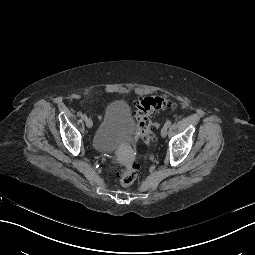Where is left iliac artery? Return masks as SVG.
<instances>
[{"label":"left iliac artery","instance_id":"left-iliac-artery-1","mask_svg":"<svg viewBox=\"0 0 255 255\" xmlns=\"http://www.w3.org/2000/svg\"><path fill=\"white\" fill-rule=\"evenodd\" d=\"M172 122L171 120H167L164 124L165 127L169 128L171 126Z\"/></svg>","mask_w":255,"mask_h":255}]
</instances>
